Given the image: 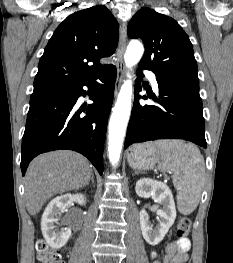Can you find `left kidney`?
Wrapping results in <instances>:
<instances>
[{"label":"left kidney","instance_id":"1","mask_svg":"<svg viewBox=\"0 0 233 263\" xmlns=\"http://www.w3.org/2000/svg\"><path fill=\"white\" fill-rule=\"evenodd\" d=\"M135 190L139 197H152L155 202L162 205V208L156 210L158 224L155 228L149 221V215L145 209H142L139 213L142 235L148 244L155 246L163 240L176 219V208L172 192L165 183L150 178L138 180Z\"/></svg>","mask_w":233,"mask_h":263}]
</instances>
